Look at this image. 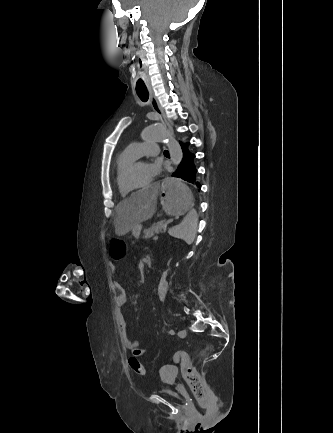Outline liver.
I'll use <instances>...</instances> for the list:
<instances>
[{"label":"liver","instance_id":"6515ba94","mask_svg":"<svg viewBox=\"0 0 333 433\" xmlns=\"http://www.w3.org/2000/svg\"><path fill=\"white\" fill-rule=\"evenodd\" d=\"M159 190V183H148L147 189L133 192L132 198L125 199L116 206L114 226L117 236H123L134 228L140 229L142 222L153 217L156 212V192Z\"/></svg>","mask_w":333,"mask_h":433}]
</instances>
